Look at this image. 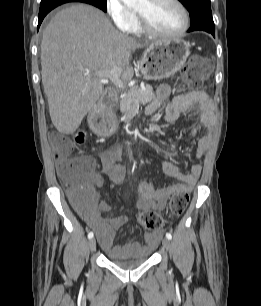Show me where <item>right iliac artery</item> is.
I'll return each mask as SVG.
<instances>
[{"instance_id": "obj_1", "label": "right iliac artery", "mask_w": 261, "mask_h": 306, "mask_svg": "<svg viewBox=\"0 0 261 306\" xmlns=\"http://www.w3.org/2000/svg\"><path fill=\"white\" fill-rule=\"evenodd\" d=\"M93 236H94L93 232H89V233H88V238H89V239L93 238Z\"/></svg>"}]
</instances>
